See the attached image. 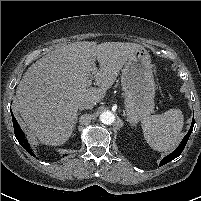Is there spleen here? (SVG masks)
<instances>
[{
  "label": "spleen",
  "mask_w": 201,
  "mask_h": 201,
  "mask_svg": "<svg viewBox=\"0 0 201 201\" xmlns=\"http://www.w3.org/2000/svg\"><path fill=\"white\" fill-rule=\"evenodd\" d=\"M184 125L180 109H170L160 115H152L142 122L144 137L156 151L172 150L179 143Z\"/></svg>",
  "instance_id": "obj_1"
}]
</instances>
